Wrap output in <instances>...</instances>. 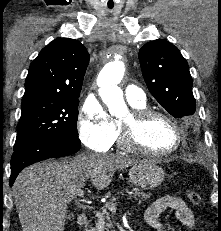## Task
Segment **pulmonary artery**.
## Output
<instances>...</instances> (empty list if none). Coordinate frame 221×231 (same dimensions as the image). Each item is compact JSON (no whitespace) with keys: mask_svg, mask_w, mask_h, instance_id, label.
Wrapping results in <instances>:
<instances>
[{"mask_svg":"<svg viewBox=\"0 0 221 231\" xmlns=\"http://www.w3.org/2000/svg\"><path fill=\"white\" fill-rule=\"evenodd\" d=\"M126 99L130 103H144L146 100V95L136 85L129 84L125 87Z\"/></svg>","mask_w":221,"mask_h":231,"instance_id":"obj_1","label":"pulmonary artery"}]
</instances>
